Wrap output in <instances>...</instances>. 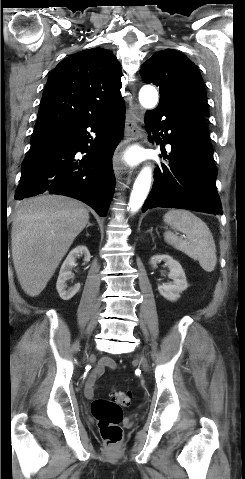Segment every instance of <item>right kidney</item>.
Returning a JSON list of instances; mask_svg holds the SVG:
<instances>
[{"mask_svg":"<svg viewBox=\"0 0 245 479\" xmlns=\"http://www.w3.org/2000/svg\"><path fill=\"white\" fill-rule=\"evenodd\" d=\"M79 256H84L85 262H89L91 259L90 252L86 246H77L70 251L59 272L56 288L61 299L66 301L70 300L80 289L79 283L68 289L66 284L68 280L73 278L72 269L75 267L76 258Z\"/></svg>","mask_w":245,"mask_h":479,"instance_id":"ca27d5eb","label":"right kidney"}]
</instances>
